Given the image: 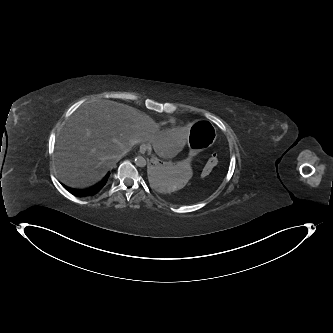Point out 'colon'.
<instances>
[{
    "instance_id": "5ec220e1",
    "label": "colon",
    "mask_w": 333,
    "mask_h": 333,
    "mask_svg": "<svg viewBox=\"0 0 333 333\" xmlns=\"http://www.w3.org/2000/svg\"><path fill=\"white\" fill-rule=\"evenodd\" d=\"M217 162H218L217 154L213 153L210 156L208 162L206 163V165L202 171V175L205 176V175L209 174L212 171V169L216 166Z\"/></svg>"
}]
</instances>
